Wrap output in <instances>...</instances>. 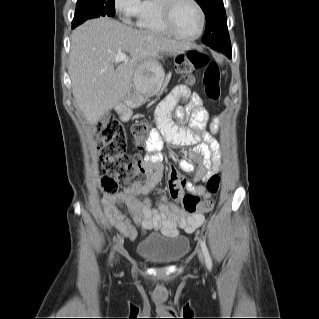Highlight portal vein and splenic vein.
Wrapping results in <instances>:
<instances>
[{"label": "portal vein and splenic vein", "instance_id": "obj_1", "mask_svg": "<svg viewBox=\"0 0 319 319\" xmlns=\"http://www.w3.org/2000/svg\"><path fill=\"white\" fill-rule=\"evenodd\" d=\"M126 59H127L126 54L123 53V52H119V53L115 56L114 61H115L116 63H120V62H122V61H125Z\"/></svg>", "mask_w": 319, "mask_h": 319}]
</instances>
